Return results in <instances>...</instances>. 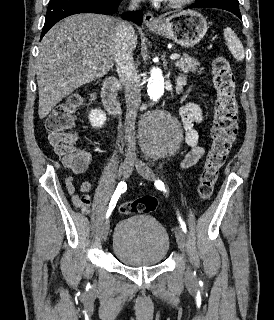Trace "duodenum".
Wrapping results in <instances>:
<instances>
[{
	"instance_id": "410a0bca",
	"label": "duodenum",
	"mask_w": 274,
	"mask_h": 320,
	"mask_svg": "<svg viewBox=\"0 0 274 320\" xmlns=\"http://www.w3.org/2000/svg\"><path fill=\"white\" fill-rule=\"evenodd\" d=\"M118 79L116 77L107 78L102 86V101L104 107L113 115H119L121 104L117 97Z\"/></svg>"
}]
</instances>
